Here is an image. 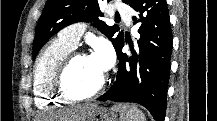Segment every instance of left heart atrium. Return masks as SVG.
I'll list each match as a JSON object with an SVG mask.
<instances>
[{
    "instance_id": "1",
    "label": "left heart atrium",
    "mask_w": 217,
    "mask_h": 121,
    "mask_svg": "<svg viewBox=\"0 0 217 121\" xmlns=\"http://www.w3.org/2000/svg\"><path fill=\"white\" fill-rule=\"evenodd\" d=\"M91 58L101 68L103 73L109 68L112 60L111 53L106 48H98Z\"/></svg>"
}]
</instances>
